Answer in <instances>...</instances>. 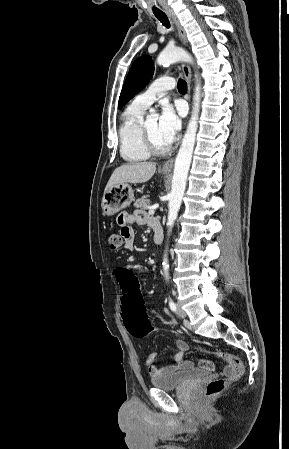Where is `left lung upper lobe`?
<instances>
[{
	"label": "left lung upper lobe",
	"instance_id": "left-lung-upper-lobe-1",
	"mask_svg": "<svg viewBox=\"0 0 289 449\" xmlns=\"http://www.w3.org/2000/svg\"><path fill=\"white\" fill-rule=\"evenodd\" d=\"M154 73L150 56H142L134 61L123 85L118 108H122L130 99L149 82Z\"/></svg>",
	"mask_w": 289,
	"mask_h": 449
}]
</instances>
